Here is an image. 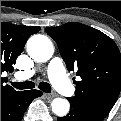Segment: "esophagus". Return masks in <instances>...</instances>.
Wrapping results in <instances>:
<instances>
[{
	"label": "esophagus",
	"mask_w": 121,
	"mask_h": 121,
	"mask_svg": "<svg viewBox=\"0 0 121 121\" xmlns=\"http://www.w3.org/2000/svg\"><path fill=\"white\" fill-rule=\"evenodd\" d=\"M44 96L47 98V99H52L55 97V94H51V93H44Z\"/></svg>",
	"instance_id": "obj_1"
}]
</instances>
